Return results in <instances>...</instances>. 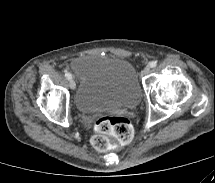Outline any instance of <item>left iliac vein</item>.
Returning <instances> with one entry per match:
<instances>
[{"instance_id":"obj_1","label":"left iliac vein","mask_w":215,"mask_h":183,"mask_svg":"<svg viewBox=\"0 0 215 183\" xmlns=\"http://www.w3.org/2000/svg\"><path fill=\"white\" fill-rule=\"evenodd\" d=\"M151 72V69L149 67H145L143 70L144 75H148Z\"/></svg>"}]
</instances>
